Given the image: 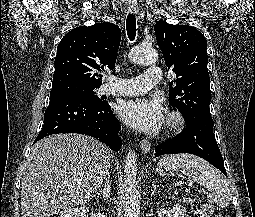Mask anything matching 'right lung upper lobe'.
<instances>
[{
    "mask_svg": "<svg viewBox=\"0 0 255 217\" xmlns=\"http://www.w3.org/2000/svg\"><path fill=\"white\" fill-rule=\"evenodd\" d=\"M120 40V28L108 22L69 31L57 47L52 87L66 84L101 86L99 73L115 67Z\"/></svg>",
    "mask_w": 255,
    "mask_h": 217,
    "instance_id": "cb5924a9",
    "label": "right lung upper lobe"
}]
</instances>
